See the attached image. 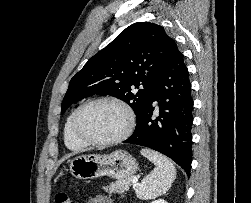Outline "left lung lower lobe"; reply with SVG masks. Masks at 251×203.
I'll list each match as a JSON object with an SVG mask.
<instances>
[{
    "label": "left lung lower lobe",
    "instance_id": "left-lung-lower-lobe-1",
    "mask_svg": "<svg viewBox=\"0 0 251 203\" xmlns=\"http://www.w3.org/2000/svg\"><path fill=\"white\" fill-rule=\"evenodd\" d=\"M157 101L158 106L153 104ZM193 99L188 69L176 43L159 71L151 97L124 143L156 150L175 161L190 175Z\"/></svg>",
    "mask_w": 251,
    "mask_h": 203
}]
</instances>
